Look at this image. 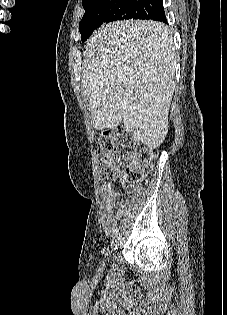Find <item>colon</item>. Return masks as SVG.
<instances>
[{"label": "colon", "mask_w": 227, "mask_h": 315, "mask_svg": "<svg viewBox=\"0 0 227 315\" xmlns=\"http://www.w3.org/2000/svg\"><path fill=\"white\" fill-rule=\"evenodd\" d=\"M101 159L98 163V178L101 183H111L118 172L122 177L139 188L147 174L153 169L157 150L151 145L137 142L127 136L121 126L105 130L98 138ZM120 148H127L128 152L120 161Z\"/></svg>", "instance_id": "5ec220e1"}]
</instances>
